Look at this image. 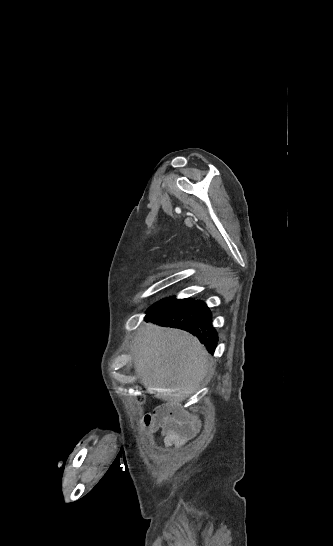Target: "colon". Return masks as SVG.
<instances>
[{
  "mask_svg": "<svg viewBox=\"0 0 333 546\" xmlns=\"http://www.w3.org/2000/svg\"><path fill=\"white\" fill-rule=\"evenodd\" d=\"M144 424L146 427L150 428V429H154L155 428V425H154V422H153V417L151 415H146L145 418H144Z\"/></svg>",
  "mask_w": 333,
  "mask_h": 546,
  "instance_id": "obj_1",
  "label": "colon"
}]
</instances>
